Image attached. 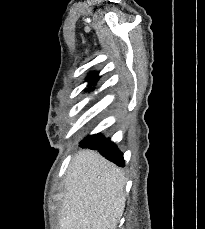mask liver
<instances>
[{"instance_id": "obj_1", "label": "liver", "mask_w": 205, "mask_h": 229, "mask_svg": "<svg viewBox=\"0 0 205 229\" xmlns=\"http://www.w3.org/2000/svg\"><path fill=\"white\" fill-rule=\"evenodd\" d=\"M125 176L92 150L77 152L64 180L60 229H116L125 208Z\"/></svg>"}]
</instances>
